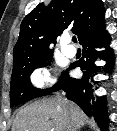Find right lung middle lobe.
Listing matches in <instances>:
<instances>
[{"instance_id": "right-lung-middle-lobe-1", "label": "right lung middle lobe", "mask_w": 117, "mask_h": 131, "mask_svg": "<svg viewBox=\"0 0 117 131\" xmlns=\"http://www.w3.org/2000/svg\"><path fill=\"white\" fill-rule=\"evenodd\" d=\"M50 58L51 55L34 63L21 65L16 68H13L10 87L11 108L19 104H22L26 101H30L36 97L48 95L51 92L60 89L62 85L63 74L59 82L49 89H37L33 87V85L30 82V74L33 72V70L42 67L43 64L50 60ZM47 64H49V62Z\"/></svg>"}]
</instances>
